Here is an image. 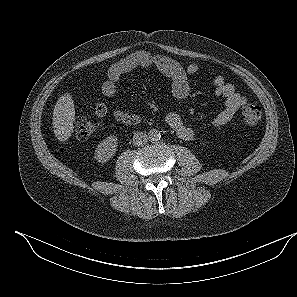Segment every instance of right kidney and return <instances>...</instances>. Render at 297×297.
I'll return each mask as SVG.
<instances>
[{
	"mask_svg": "<svg viewBox=\"0 0 297 297\" xmlns=\"http://www.w3.org/2000/svg\"><path fill=\"white\" fill-rule=\"evenodd\" d=\"M117 144V137L115 135L108 136L96 147L94 158L101 163L107 162L115 155Z\"/></svg>",
	"mask_w": 297,
	"mask_h": 297,
	"instance_id": "obj_1",
	"label": "right kidney"
}]
</instances>
